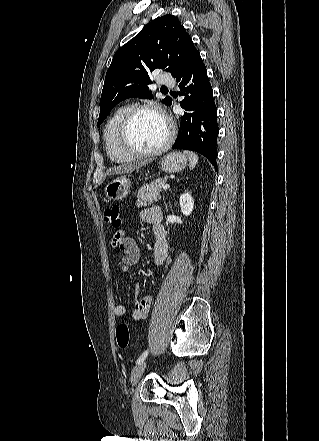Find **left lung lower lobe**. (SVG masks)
<instances>
[{"instance_id":"1","label":"left lung lower lobe","mask_w":319,"mask_h":441,"mask_svg":"<svg viewBox=\"0 0 319 441\" xmlns=\"http://www.w3.org/2000/svg\"><path fill=\"white\" fill-rule=\"evenodd\" d=\"M179 82V95L185 98L180 102L185 110L181 116L178 137L172 149L196 151L205 156L216 168L217 110L213 100L206 67L198 53L188 67L176 77Z\"/></svg>"}]
</instances>
